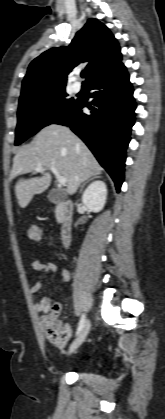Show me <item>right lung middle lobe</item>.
<instances>
[{"label":"right lung middle lobe","instance_id":"obj_1","mask_svg":"<svg viewBox=\"0 0 165 419\" xmlns=\"http://www.w3.org/2000/svg\"><path fill=\"white\" fill-rule=\"evenodd\" d=\"M78 99H68L65 88L40 93L19 102L15 145L36 134L55 119L75 108Z\"/></svg>","mask_w":165,"mask_h":419}]
</instances>
